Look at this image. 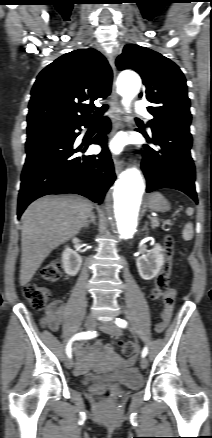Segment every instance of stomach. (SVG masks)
<instances>
[{"label": "stomach", "instance_id": "stomach-1", "mask_svg": "<svg viewBox=\"0 0 212 438\" xmlns=\"http://www.w3.org/2000/svg\"><path fill=\"white\" fill-rule=\"evenodd\" d=\"M147 205L151 210L156 212H165L170 208L169 202L158 192L148 195Z\"/></svg>", "mask_w": 212, "mask_h": 438}]
</instances>
